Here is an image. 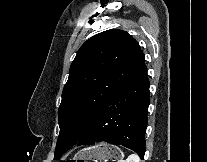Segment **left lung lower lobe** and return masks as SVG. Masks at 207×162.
Instances as JSON below:
<instances>
[{
    "label": "left lung lower lobe",
    "instance_id": "0a47b994",
    "mask_svg": "<svg viewBox=\"0 0 207 162\" xmlns=\"http://www.w3.org/2000/svg\"><path fill=\"white\" fill-rule=\"evenodd\" d=\"M149 85L143 61L101 105L76 144L110 142L135 151L143 159Z\"/></svg>",
    "mask_w": 207,
    "mask_h": 162
}]
</instances>
